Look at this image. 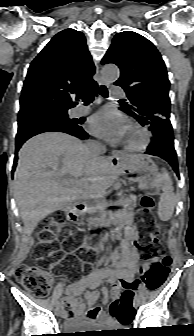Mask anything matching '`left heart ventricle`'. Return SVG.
Instances as JSON below:
<instances>
[{
	"instance_id": "b2bd125f",
	"label": "left heart ventricle",
	"mask_w": 194,
	"mask_h": 336,
	"mask_svg": "<svg viewBox=\"0 0 194 336\" xmlns=\"http://www.w3.org/2000/svg\"><path fill=\"white\" fill-rule=\"evenodd\" d=\"M123 140L129 143H138L140 141V135L127 126Z\"/></svg>"
}]
</instances>
